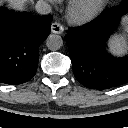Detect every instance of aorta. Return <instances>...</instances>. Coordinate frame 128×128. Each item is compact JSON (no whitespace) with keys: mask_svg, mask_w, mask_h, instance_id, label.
Here are the masks:
<instances>
[{"mask_svg":"<svg viewBox=\"0 0 128 128\" xmlns=\"http://www.w3.org/2000/svg\"><path fill=\"white\" fill-rule=\"evenodd\" d=\"M63 45V40L61 36L56 34H51L46 39V46L51 51L59 50Z\"/></svg>","mask_w":128,"mask_h":128,"instance_id":"aorta-1","label":"aorta"}]
</instances>
